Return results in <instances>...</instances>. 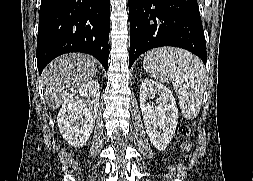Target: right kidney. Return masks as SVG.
<instances>
[{
    "mask_svg": "<svg viewBox=\"0 0 253 181\" xmlns=\"http://www.w3.org/2000/svg\"><path fill=\"white\" fill-rule=\"evenodd\" d=\"M99 90V83L90 80L64 100L57 123L61 135L71 146H83L91 136L99 107Z\"/></svg>",
    "mask_w": 253,
    "mask_h": 181,
    "instance_id": "obj_1",
    "label": "right kidney"
}]
</instances>
